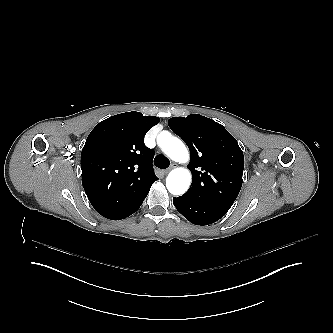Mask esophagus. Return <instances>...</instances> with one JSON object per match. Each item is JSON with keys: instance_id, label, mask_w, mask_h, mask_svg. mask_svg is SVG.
Segmentation results:
<instances>
[{"instance_id": "34e87169", "label": "esophagus", "mask_w": 333, "mask_h": 333, "mask_svg": "<svg viewBox=\"0 0 333 333\" xmlns=\"http://www.w3.org/2000/svg\"><path fill=\"white\" fill-rule=\"evenodd\" d=\"M178 165L176 164V163H173V164H171V166L170 167H168L167 169H165L164 171H163V173L164 174H167L169 171H171L173 168H176Z\"/></svg>"}]
</instances>
